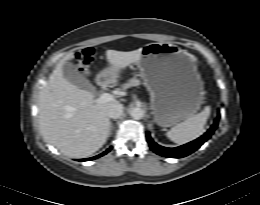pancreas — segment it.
I'll use <instances>...</instances> for the list:
<instances>
[{
  "instance_id": "pancreas-1",
  "label": "pancreas",
  "mask_w": 260,
  "mask_h": 205,
  "mask_svg": "<svg viewBox=\"0 0 260 205\" xmlns=\"http://www.w3.org/2000/svg\"><path fill=\"white\" fill-rule=\"evenodd\" d=\"M139 84H140V81H139V80H137V79H135V78H132V79L129 80L128 83H126V84L124 85V89L130 88V87H132V86H138Z\"/></svg>"
}]
</instances>
